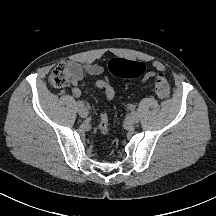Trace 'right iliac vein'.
I'll list each match as a JSON object with an SVG mask.
<instances>
[{
  "label": "right iliac vein",
  "mask_w": 216,
  "mask_h": 216,
  "mask_svg": "<svg viewBox=\"0 0 216 216\" xmlns=\"http://www.w3.org/2000/svg\"><path fill=\"white\" fill-rule=\"evenodd\" d=\"M78 113L79 115L82 117V118H86L89 114L87 108L85 107H81L79 110H78Z\"/></svg>",
  "instance_id": "obj_1"
}]
</instances>
